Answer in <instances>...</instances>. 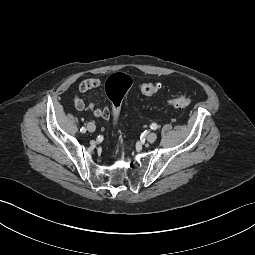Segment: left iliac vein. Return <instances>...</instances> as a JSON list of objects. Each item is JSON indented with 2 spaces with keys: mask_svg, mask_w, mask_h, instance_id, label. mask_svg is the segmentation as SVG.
Returning a JSON list of instances; mask_svg holds the SVG:
<instances>
[{
  "mask_svg": "<svg viewBox=\"0 0 255 255\" xmlns=\"http://www.w3.org/2000/svg\"><path fill=\"white\" fill-rule=\"evenodd\" d=\"M157 139V134L152 132L147 135V140L149 142H154Z\"/></svg>",
  "mask_w": 255,
  "mask_h": 255,
  "instance_id": "1",
  "label": "left iliac vein"
}]
</instances>
